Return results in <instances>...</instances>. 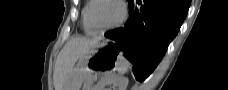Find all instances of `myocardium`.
<instances>
[{
	"mask_svg": "<svg viewBox=\"0 0 228 90\" xmlns=\"http://www.w3.org/2000/svg\"><path fill=\"white\" fill-rule=\"evenodd\" d=\"M99 1H101V0H92V4L90 6L89 13H88L89 24L96 33H103V32L113 30V29L119 27L126 20L127 8H126V5L124 4V2L121 0H111V1L115 2L116 4H118V6L120 7L121 13H120L119 18L116 20V22H114L110 26H107L104 28L97 27L93 20V10H94L96 3H98Z\"/></svg>",
	"mask_w": 228,
	"mask_h": 90,
	"instance_id": "obj_1",
	"label": "myocardium"
}]
</instances>
